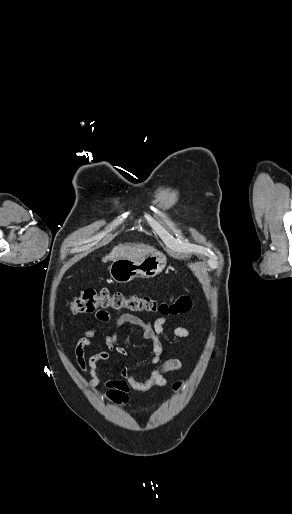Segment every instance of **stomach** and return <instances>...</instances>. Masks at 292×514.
Here are the masks:
<instances>
[{
  "instance_id": "obj_1",
  "label": "stomach",
  "mask_w": 292,
  "mask_h": 514,
  "mask_svg": "<svg viewBox=\"0 0 292 514\" xmlns=\"http://www.w3.org/2000/svg\"><path fill=\"white\" fill-rule=\"evenodd\" d=\"M166 264L164 254L151 252L139 260H127V258L114 260L109 266V274L118 284H127L134 278H154L164 270Z\"/></svg>"
}]
</instances>
